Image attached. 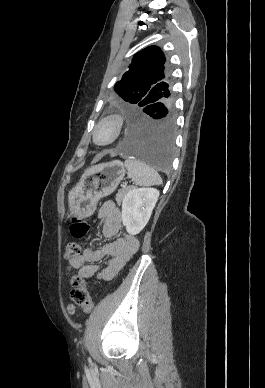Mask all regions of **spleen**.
Segmentation results:
<instances>
[{"instance_id":"1","label":"spleen","mask_w":265,"mask_h":388,"mask_svg":"<svg viewBox=\"0 0 265 388\" xmlns=\"http://www.w3.org/2000/svg\"><path fill=\"white\" fill-rule=\"evenodd\" d=\"M125 168L127 170L128 178H132L138 186H159L162 180L154 170L147 166L142 160H135V158H128L125 160Z\"/></svg>"}]
</instances>
